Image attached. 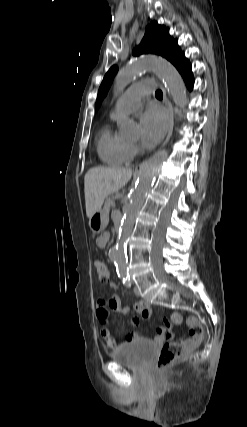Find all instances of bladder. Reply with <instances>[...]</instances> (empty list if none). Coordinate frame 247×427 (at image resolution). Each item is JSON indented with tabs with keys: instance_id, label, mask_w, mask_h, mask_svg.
I'll return each mask as SVG.
<instances>
[{
	"instance_id": "31cf9c89",
	"label": "bladder",
	"mask_w": 247,
	"mask_h": 427,
	"mask_svg": "<svg viewBox=\"0 0 247 427\" xmlns=\"http://www.w3.org/2000/svg\"><path fill=\"white\" fill-rule=\"evenodd\" d=\"M156 345L148 340H135L122 348L113 351L111 358L117 363H121L131 369L142 370L149 363L154 355Z\"/></svg>"
}]
</instances>
